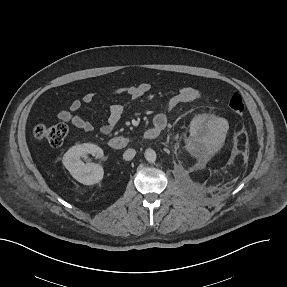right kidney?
<instances>
[{
  "instance_id": "ca27d5eb",
  "label": "right kidney",
  "mask_w": 287,
  "mask_h": 287,
  "mask_svg": "<svg viewBox=\"0 0 287 287\" xmlns=\"http://www.w3.org/2000/svg\"><path fill=\"white\" fill-rule=\"evenodd\" d=\"M92 154L97 158L103 156V150L94 144H79L71 147L63 156V165L72 177L84 185H93L103 179L104 171L101 165L85 164L81 157Z\"/></svg>"
}]
</instances>
